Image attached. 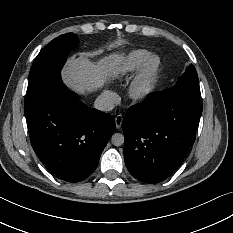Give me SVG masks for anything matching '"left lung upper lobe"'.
<instances>
[{"mask_svg": "<svg viewBox=\"0 0 233 233\" xmlns=\"http://www.w3.org/2000/svg\"><path fill=\"white\" fill-rule=\"evenodd\" d=\"M161 95L200 99L198 76L195 67L193 65L187 67L186 72L178 81L172 87L162 91Z\"/></svg>", "mask_w": 233, "mask_h": 233, "instance_id": "obj_1", "label": "left lung upper lobe"}]
</instances>
